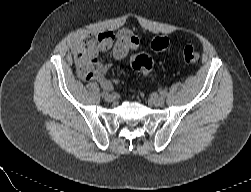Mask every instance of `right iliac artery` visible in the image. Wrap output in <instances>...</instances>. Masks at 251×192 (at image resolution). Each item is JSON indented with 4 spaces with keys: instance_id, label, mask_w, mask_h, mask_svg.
I'll return each mask as SVG.
<instances>
[{
    "instance_id": "82829eb1",
    "label": "right iliac artery",
    "mask_w": 251,
    "mask_h": 192,
    "mask_svg": "<svg viewBox=\"0 0 251 192\" xmlns=\"http://www.w3.org/2000/svg\"><path fill=\"white\" fill-rule=\"evenodd\" d=\"M110 89H104V91L102 92V97H106L109 93Z\"/></svg>"
}]
</instances>
